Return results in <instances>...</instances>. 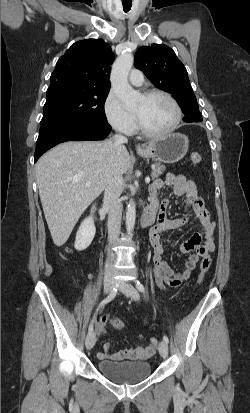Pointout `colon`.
<instances>
[{"label": "colon", "mask_w": 250, "mask_h": 413, "mask_svg": "<svg viewBox=\"0 0 250 413\" xmlns=\"http://www.w3.org/2000/svg\"><path fill=\"white\" fill-rule=\"evenodd\" d=\"M191 162L193 164H198L201 162V156L198 153H192L191 154ZM212 264V259L210 254H206L205 256L202 257V260L200 262V272L199 276L197 279V284H201L202 281L204 280L207 272L209 271L210 267ZM111 322L112 326L116 330H124L125 329V323L122 320V317L119 314H116L114 317H110L108 315H104L101 318L100 323L105 326L107 323ZM158 345V339L155 337H152L150 339V346L152 347H157Z\"/></svg>", "instance_id": "5ec220e1"}]
</instances>
